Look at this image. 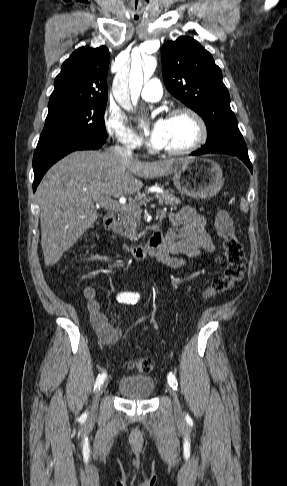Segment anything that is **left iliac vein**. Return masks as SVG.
Segmentation results:
<instances>
[{"label": "left iliac vein", "instance_id": "1", "mask_svg": "<svg viewBox=\"0 0 287 486\" xmlns=\"http://www.w3.org/2000/svg\"><path fill=\"white\" fill-rule=\"evenodd\" d=\"M168 390H169V393H170V395L173 399L174 414L177 418H180L182 416V409H181V406H180V402H179L177 393L170 386H168Z\"/></svg>", "mask_w": 287, "mask_h": 486}]
</instances>
